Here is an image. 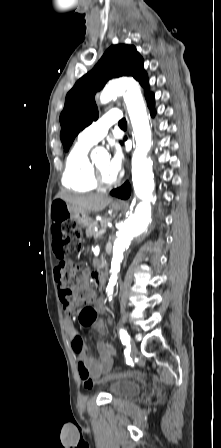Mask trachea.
I'll list each match as a JSON object with an SVG mask.
<instances>
[{
    "label": "trachea",
    "mask_w": 221,
    "mask_h": 448,
    "mask_svg": "<svg viewBox=\"0 0 221 448\" xmlns=\"http://www.w3.org/2000/svg\"><path fill=\"white\" fill-rule=\"evenodd\" d=\"M119 126L120 127H125V126H127V122H126V120L123 118L121 121H119Z\"/></svg>",
    "instance_id": "obj_1"
}]
</instances>
